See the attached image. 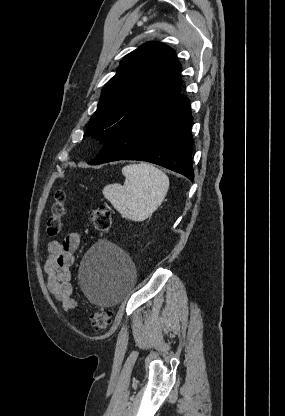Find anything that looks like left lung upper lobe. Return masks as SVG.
I'll return each mask as SVG.
<instances>
[{
    "label": "left lung upper lobe",
    "instance_id": "obj_1",
    "mask_svg": "<svg viewBox=\"0 0 285 416\" xmlns=\"http://www.w3.org/2000/svg\"><path fill=\"white\" fill-rule=\"evenodd\" d=\"M180 71L175 51L163 43L149 42L126 55L103 88L84 136L105 144L132 121L177 98Z\"/></svg>",
    "mask_w": 285,
    "mask_h": 416
}]
</instances>
